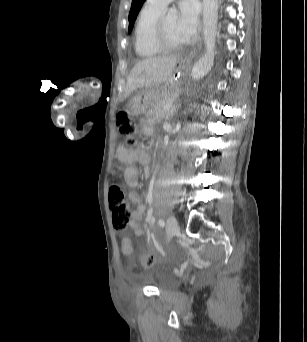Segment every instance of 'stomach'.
<instances>
[{"label":"stomach","mask_w":307,"mask_h":342,"mask_svg":"<svg viewBox=\"0 0 307 342\" xmlns=\"http://www.w3.org/2000/svg\"><path fill=\"white\" fill-rule=\"evenodd\" d=\"M189 60L179 58L175 64L174 70L168 80L161 86L149 90H143L132 97L126 107V111L131 116H138L150 108L155 100L161 95L168 93H177L178 87L182 83L185 72L189 68Z\"/></svg>","instance_id":"obj_1"}]
</instances>
